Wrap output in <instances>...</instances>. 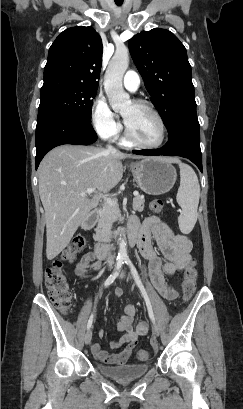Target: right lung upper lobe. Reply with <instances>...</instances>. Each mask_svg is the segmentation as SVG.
Returning a JSON list of instances; mask_svg holds the SVG:
<instances>
[{
  "instance_id": "obj_1",
  "label": "right lung upper lobe",
  "mask_w": 243,
  "mask_h": 409,
  "mask_svg": "<svg viewBox=\"0 0 243 409\" xmlns=\"http://www.w3.org/2000/svg\"><path fill=\"white\" fill-rule=\"evenodd\" d=\"M102 49L101 37L92 27L64 30L49 49L44 80H66L97 89Z\"/></svg>"
}]
</instances>
